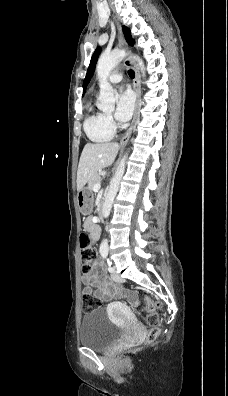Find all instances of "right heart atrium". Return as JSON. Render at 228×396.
Returning <instances> with one entry per match:
<instances>
[{"label": "right heart atrium", "mask_w": 228, "mask_h": 396, "mask_svg": "<svg viewBox=\"0 0 228 396\" xmlns=\"http://www.w3.org/2000/svg\"><path fill=\"white\" fill-rule=\"evenodd\" d=\"M106 122H107V124L110 126V127H114V120H113V118L110 116V115H106Z\"/></svg>", "instance_id": "d8ad5b80"}]
</instances>
